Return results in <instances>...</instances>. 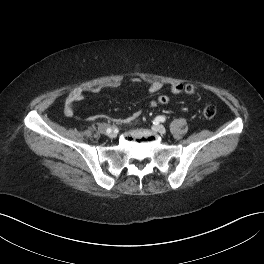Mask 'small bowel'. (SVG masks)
<instances>
[{
  "label": "small bowel",
  "instance_id": "1",
  "mask_svg": "<svg viewBox=\"0 0 264 264\" xmlns=\"http://www.w3.org/2000/svg\"><path fill=\"white\" fill-rule=\"evenodd\" d=\"M132 82L138 83V82H140V79L134 78V79H132ZM120 84H121L120 81L115 80V81H110L109 83H107L104 86L73 88L66 97L65 104H64V115L66 117H70V118L73 117L75 105L84 99V93L85 92L97 93V92L101 91V89L104 87H106V88H117L120 86ZM162 87H163V84L160 81H153V82L149 83V85L147 87V91L150 94H154V93L159 92L162 89ZM171 91L174 94L182 93L184 91V86L182 84H173L171 86ZM156 105H157L156 101H151L148 106L149 107H155ZM140 113H141V111H137L134 114L133 118L137 117Z\"/></svg>",
  "mask_w": 264,
  "mask_h": 264
}]
</instances>
